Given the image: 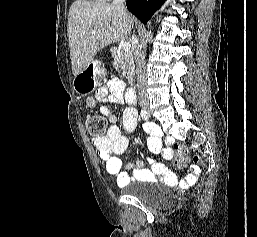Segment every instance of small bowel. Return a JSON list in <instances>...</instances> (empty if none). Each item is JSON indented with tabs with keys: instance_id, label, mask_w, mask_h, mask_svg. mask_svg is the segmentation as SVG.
<instances>
[{
	"instance_id": "small-bowel-1",
	"label": "small bowel",
	"mask_w": 257,
	"mask_h": 237,
	"mask_svg": "<svg viewBox=\"0 0 257 237\" xmlns=\"http://www.w3.org/2000/svg\"><path fill=\"white\" fill-rule=\"evenodd\" d=\"M125 85L119 78H112L107 84L99 87L95 96L88 97L86 104L88 107H95L98 101L109 103H122L124 101ZM100 112L104 118L111 124L107 135L104 138L94 139L93 145L97 150L99 158L105 162L107 173L113 175L118 186H125L131 180H145L156 182L161 180L168 185H175L179 181L178 176L168 170L162 163L151 159V170L145 169L143 162L136 161L122 167L120 155L129 147V138L122 134L118 125V117L107 107L106 104L100 106ZM138 114L134 107L128 106L124 109L121 124L122 127L132 132L137 124ZM144 129L149 133L148 148L151 154H156L162 147L161 131L153 124H144ZM165 157L172 156L169 148L164 149ZM184 158V162H188ZM199 174V167L193 165L189 168L185 180L194 182Z\"/></svg>"
}]
</instances>
